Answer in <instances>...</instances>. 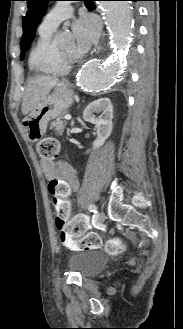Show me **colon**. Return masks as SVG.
Wrapping results in <instances>:
<instances>
[{
  "label": "colon",
  "instance_id": "5ec220e1",
  "mask_svg": "<svg viewBox=\"0 0 183 329\" xmlns=\"http://www.w3.org/2000/svg\"><path fill=\"white\" fill-rule=\"evenodd\" d=\"M37 151L41 158L54 160L59 155V143L52 137H45L37 144ZM69 218H56V226L60 232L61 240L75 239L78 248L96 249L101 246V239L96 233H86L92 231L93 225L87 224V219L79 216L68 222ZM106 249L110 254L119 253L123 249V242L114 238L107 242Z\"/></svg>",
  "mask_w": 183,
  "mask_h": 329
}]
</instances>
